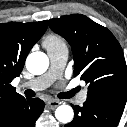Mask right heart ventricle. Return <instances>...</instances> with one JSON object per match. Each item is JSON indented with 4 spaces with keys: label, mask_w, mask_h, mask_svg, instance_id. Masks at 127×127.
Masks as SVG:
<instances>
[{
    "label": "right heart ventricle",
    "mask_w": 127,
    "mask_h": 127,
    "mask_svg": "<svg viewBox=\"0 0 127 127\" xmlns=\"http://www.w3.org/2000/svg\"><path fill=\"white\" fill-rule=\"evenodd\" d=\"M43 45L47 49V51L56 50V49L63 48V47L66 48V44L63 38L53 33L48 34L44 38Z\"/></svg>",
    "instance_id": "right-heart-ventricle-1"
}]
</instances>
